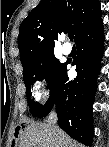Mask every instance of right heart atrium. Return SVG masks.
<instances>
[{
    "instance_id": "obj_1",
    "label": "right heart atrium",
    "mask_w": 109,
    "mask_h": 147,
    "mask_svg": "<svg viewBox=\"0 0 109 147\" xmlns=\"http://www.w3.org/2000/svg\"><path fill=\"white\" fill-rule=\"evenodd\" d=\"M33 95L37 100L47 96V89L43 82L37 81L33 86Z\"/></svg>"
}]
</instances>
